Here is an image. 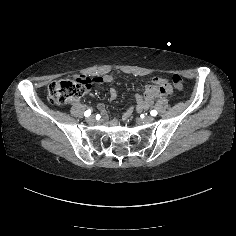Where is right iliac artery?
<instances>
[{
  "instance_id": "1",
  "label": "right iliac artery",
  "mask_w": 236,
  "mask_h": 236,
  "mask_svg": "<svg viewBox=\"0 0 236 236\" xmlns=\"http://www.w3.org/2000/svg\"><path fill=\"white\" fill-rule=\"evenodd\" d=\"M90 115H91V110H87V111L84 112L85 117H88Z\"/></svg>"
}]
</instances>
